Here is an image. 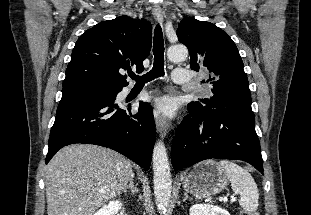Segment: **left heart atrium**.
<instances>
[{
  "label": "left heart atrium",
  "instance_id": "left-heart-atrium-1",
  "mask_svg": "<svg viewBox=\"0 0 311 215\" xmlns=\"http://www.w3.org/2000/svg\"><path fill=\"white\" fill-rule=\"evenodd\" d=\"M176 110L175 103L169 97H162L155 101L154 111L156 114H160L166 117L174 115Z\"/></svg>",
  "mask_w": 311,
  "mask_h": 215
}]
</instances>
